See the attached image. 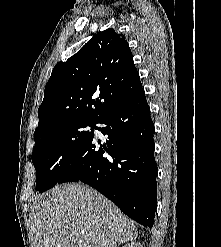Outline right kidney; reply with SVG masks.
Returning <instances> with one entry per match:
<instances>
[{"label": "right kidney", "mask_w": 221, "mask_h": 247, "mask_svg": "<svg viewBox=\"0 0 221 247\" xmlns=\"http://www.w3.org/2000/svg\"><path fill=\"white\" fill-rule=\"evenodd\" d=\"M123 247H143V246L140 243H138V242L132 241V242L124 245Z\"/></svg>", "instance_id": "right-kidney-1"}]
</instances>
